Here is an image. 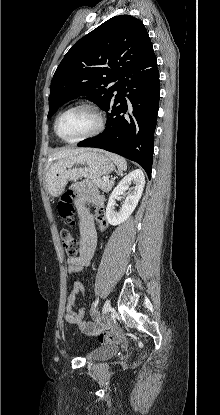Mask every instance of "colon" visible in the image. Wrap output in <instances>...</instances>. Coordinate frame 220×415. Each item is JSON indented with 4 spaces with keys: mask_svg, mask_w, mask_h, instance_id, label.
Wrapping results in <instances>:
<instances>
[{
    "mask_svg": "<svg viewBox=\"0 0 220 415\" xmlns=\"http://www.w3.org/2000/svg\"><path fill=\"white\" fill-rule=\"evenodd\" d=\"M73 195H74L73 191L66 192L62 196V198L59 201L58 206H57V210H58V213H59L60 217L62 218V220L65 223H67L70 226H72L74 224V221H73L74 208H73V204H72ZM95 213L98 217H103L104 210H103V208L98 207V208L95 209ZM60 236H61L62 246H63V248L66 252L67 257L70 260H74V259L78 258L79 254H80L79 242L65 228L61 229ZM114 338H115L114 335L112 333H109V332H105V333L100 334V339H102V340H105V339H112L113 340Z\"/></svg>",
    "mask_w": 220,
    "mask_h": 415,
    "instance_id": "colon-1",
    "label": "colon"
}]
</instances>
